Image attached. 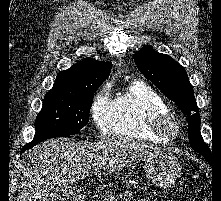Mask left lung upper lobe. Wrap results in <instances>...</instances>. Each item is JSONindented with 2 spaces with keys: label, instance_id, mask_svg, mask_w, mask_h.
<instances>
[{
  "label": "left lung upper lobe",
  "instance_id": "left-lung-upper-lobe-1",
  "mask_svg": "<svg viewBox=\"0 0 221 201\" xmlns=\"http://www.w3.org/2000/svg\"><path fill=\"white\" fill-rule=\"evenodd\" d=\"M134 61L141 73L188 116L190 146L205 158H211V150L200 133L199 109L184 67L170 56L156 52L151 46L136 52Z\"/></svg>",
  "mask_w": 221,
  "mask_h": 201
}]
</instances>
